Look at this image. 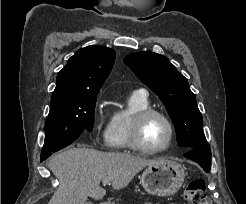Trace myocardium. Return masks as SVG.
I'll return each mask as SVG.
<instances>
[{
    "label": "myocardium",
    "instance_id": "1",
    "mask_svg": "<svg viewBox=\"0 0 246 204\" xmlns=\"http://www.w3.org/2000/svg\"><path fill=\"white\" fill-rule=\"evenodd\" d=\"M152 116H158L162 118L169 128L168 141L164 146L160 148H149L145 146L142 142L141 134H142L143 126L145 122ZM174 138H175L174 124L164 112L154 108H147L134 115L131 122L130 133H129V143L131 148L145 154H158L168 150L171 147Z\"/></svg>",
    "mask_w": 246,
    "mask_h": 204
}]
</instances>
